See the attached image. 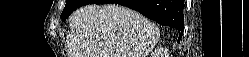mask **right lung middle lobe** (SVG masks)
Segmentation results:
<instances>
[{
	"mask_svg": "<svg viewBox=\"0 0 249 57\" xmlns=\"http://www.w3.org/2000/svg\"><path fill=\"white\" fill-rule=\"evenodd\" d=\"M92 0H67L65 8L61 14L62 21H65L69 15L77 8L90 4Z\"/></svg>",
	"mask_w": 249,
	"mask_h": 57,
	"instance_id": "dd1d6c3e",
	"label": "right lung middle lobe"
}]
</instances>
